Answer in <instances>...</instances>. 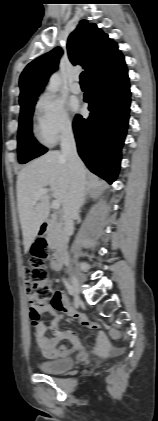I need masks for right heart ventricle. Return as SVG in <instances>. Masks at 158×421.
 <instances>
[{
    "mask_svg": "<svg viewBox=\"0 0 158 421\" xmlns=\"http://www.w3.org/2000/svg\"><path fill=\"white\" fill-rule=\"evenodd\" d=\"M35 134H36V136L39 138V140H40L41 142H43V143H47V142L43 139V137H42V135H41V133H40V131H39L38 126L35 128Z\"/></svg>",
    "mask_w": 158,
    "mask_h": 421,
    "instance_id": "right-heart-ventricle-1",
    "label": "right heart ventricle"
}]
</instances>
